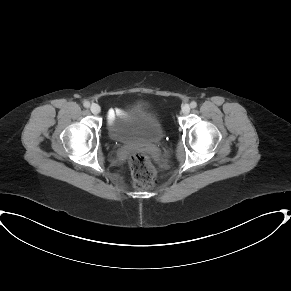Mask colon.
<instances>
[{
	"instance_id": "1",
	"label": "colon",
	"mask_w": 291,
	"mask_h": 291,
	"mask_svg": "<svg viewBox=\"0 0 291 291\" xmlns=\"http://www.w3.org/2000/svg\"><path fill=\"white\" fill-rule=\"evenodd\" d=\"M129 166L135 188L143 189L153 185L155 171L146 154L142 152L132 153L129 156Z\"/></svg>"
}]
</instances>
